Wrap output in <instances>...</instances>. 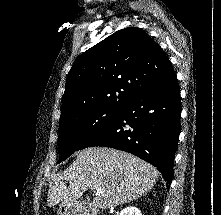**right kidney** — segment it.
Listing matches in <instances>:
<instances>
[{"label": "right kidney", "instance_id": "ca27d5eb", "mask_svg": "<svg viewBox=\"0 0 221 215\" xmlns=\"http://www.w3.org/2000/svg\"><path fill=\"white\" fill-rule=\"evenodd\" d=\"M120 215H142L141 211L133 206H129L120 212Z\"/></svg>", "mask_w": 221, "mask_h": 215}]
</instances>
